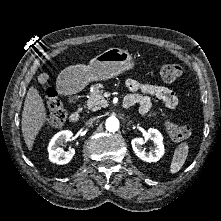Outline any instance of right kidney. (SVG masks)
Wrapping results in <instances>:
<instances>
[{"label":"right kidney","instance_id":"ca27d5eb","mask_svg":"<svg viewBox=\"0 0 221 221\" xmlns=\"http://www.w3.org/2000/svg\"><path fill=\"white\" fill-rule=\"evenodd\" d=\"M73 138V133L69 130H63L54 135L48 145L49 160L53 163L63 165L71 161L75 154L74 149L63 151L59 147L64 141H70Z\"/></svg>","mask_w":221,"mask_h":221}]
</instances>
